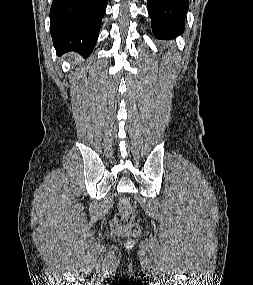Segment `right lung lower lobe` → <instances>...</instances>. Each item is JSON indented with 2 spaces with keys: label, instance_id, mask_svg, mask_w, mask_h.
<instances>
[{
  "label": "right lung lower lobe",
  "instance_id": "1",
  "mask_svg": "<svg viewBox=\"0 0 253 285\" xmlns=\"http://www.w3.org/2000/svg\"><path fill=\"white\" fill-rule=\"evenodd\" d=\"M105 11L106 0H53L51 36L57 54L76 51L89 56Z\"/></svg>",
  "mask_w": 253,
  "mask_h": 285
}]
</instances>
